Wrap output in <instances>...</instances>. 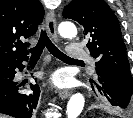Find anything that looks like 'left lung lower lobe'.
Instances as JSON below:
<instances>
[{"label": "left lung lower lobe", "mask_w": 133, "mask_h": 118, "mask_svg": "<svg viewBox=\"0 0 133 118\" xmlns=\"http://www.w3.org/2000/svg\"><path fill=\"white\" fill-rule=\"evenodd\" d=\"M97 71V70H96ZM98 90L106 103L114 107L127 108L133 104V92L115 82L105 72L98 70Z\"/></svg>", "instance_id": "left-lung-lower-lobe-1"}]
</instances>
